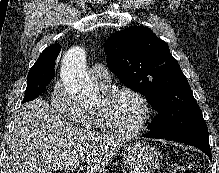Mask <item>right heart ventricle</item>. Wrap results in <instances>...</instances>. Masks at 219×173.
I'll list each match as a JSON object with an SVG mask.
<instances>
[{
    "label": "right heart ventricle",
    "instance_id": "e07e8e85",
    "mask_svg": "<svg viewBox=\"0 0 219 173\" xmlns=\"http://www.w3.org/2000/svg\"><path fill=\"white\" fill-rule=\"evenodd\" d=\"M99 86V85H98ZM103 91L107 89V87L99 86ZM82 125L90 130L98 131V132H106V128L102 124L97 111L96 110H85L83 111V123Z\"/></svg>",
    "mask_w": 219,
    "mask_h": 173
}]
</instances>
